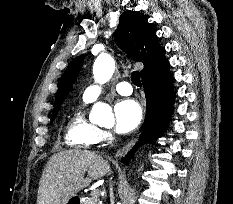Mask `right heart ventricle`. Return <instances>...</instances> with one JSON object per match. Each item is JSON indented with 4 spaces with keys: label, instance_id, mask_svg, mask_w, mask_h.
<instances>
[{
    "label": "right heart ventricle",
    "instance_id": "obj_1",
    "mask_svg": "<svg viewBox=\"0 0 233 204\" xmlns=\"http://www.w3.org/2000/svg\"><path fill=\"white\" fill-rule=\"evenodd\" d=\"M90 101L83 97L74 109L65 130L66 143L74 148H89L99 142L100 129L86 118L85 108Z\"/></svg>",
    "mask_w": 233,
    "mask_h": 204
}]
</instances>
